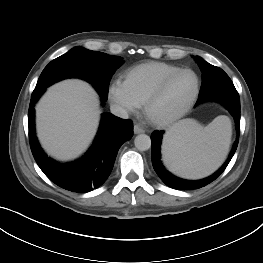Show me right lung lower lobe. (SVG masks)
<instances>
[{"instance_id":"1","label":"right lung lower lobe","mask_w":263,"mask_h":263,"mask_svg":"<svg viewBox=\"0 0 263 263\" xmlns=\"http://www.w3.org/2000/svg\"><path fill=\"white\" fill-rule=\"evenodd\" d=\"M33 92L28 111L29 140L32 154L40 169L56 185L78 193H86L102 185L110 175L121 145L133 136V123L113 114H102L98 135L92 147L80 159L61 164L41 149L34 128V105L43 94Z\"/></svg>"}]
</instances>
